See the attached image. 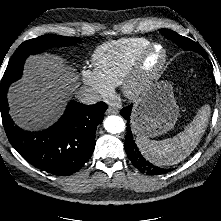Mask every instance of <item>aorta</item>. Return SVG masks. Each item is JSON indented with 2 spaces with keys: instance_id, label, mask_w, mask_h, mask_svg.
<instances>
[{
  "instance_id": "obj_1",
  "label": "aorta",
  "mask_w": 221,
  "mask_h": 221,
  "mask_svg": "<svg viewBox=\"0 0 221 221\" xmlns=\"http://www.w3.org/2000/svg\"><path fill=\"white\" fill-rule=\"evenodd\" d=\"M104 128L109 133L118 134L125 130V123L121 117L111 115L104 120Z\"/></svg>"
}]
</instances>
